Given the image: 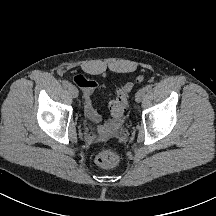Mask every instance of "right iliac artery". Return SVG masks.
<instances>
[{
	"instance_id": "1",
	"label": "right iliac artery",
	"mask_w": 216,
	"mask_h": 216,
	"mask_svg": "<svg viewBox=\"0 0 216 216\" xmlns=\"http://www.w3.org/2000/svg\"><path fill=\"white\" fill-rule=\"evenodd\" d=\"M62 85L64 88H68L71 84L68 81H63Z\"/></svg>"
}]
</instances>
